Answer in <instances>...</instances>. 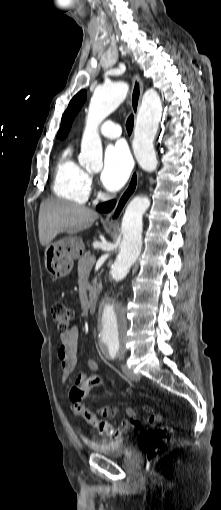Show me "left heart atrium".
Returning <instances> with one entry per match:
<instances>
[{
    "label": "left heart atrium",
    "instance_id": "39dd6f15",
    "mask_svg": "<svg viewBox=\"0 0 221 510\" xmlns=\"http://www.w3.org/2000/svg\"><path fill=\"white\" fill-rule=\"evenodd\" d=\"M132 158L127 147L117 143L107 147L104 154L101 182L109 191L119 190L129 178Z\"/></svg>",
    "mask_w": 221,
    "mask_h": 510
}]
</instances>
